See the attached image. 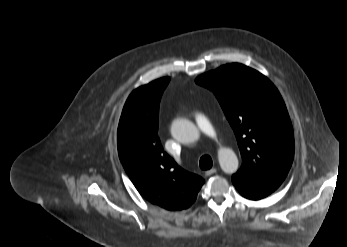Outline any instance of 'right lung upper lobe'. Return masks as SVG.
I'll use <instances>...</instances> for the list:
<instances>
[{
	"label": "right lung upper lobe",
	"instance_id": "cb5924a9",
	"mask_svg": "<svg viewBox=\"0 0 347 247\" xmlns=\"http://www.w3.org/2000/svg\"><path fill=\"white\" fill-rule=\"evenodd\" d=\"M170 78L135 89L120 118L117 144L130 180L148 201L167 210L188 208L204 180L179 167L164 152L158 137L159 103Z\"/></svg>",
	"mask_w": 347,
	"mask_h": 247
}]
</instances>
